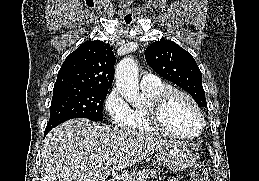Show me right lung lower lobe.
<instances>
[{
  "instance_id": "right-lung-lower-lobe-1",
  "label": "right lung lower lobe",
  "mask_w": 259,
  "mask_h": 181,
  "mask_svg": "<svg viewBox=\"0 0 259 181\" xmlns=\"http://www.w3.org/2000/svg\"><path fill=\"white\" fill-rule=\"evenodd\" d=\"M48 132H49L48 130H45V135H46Z\"/></svg>"
}]
</instances>
